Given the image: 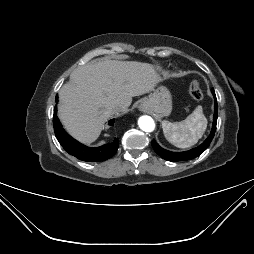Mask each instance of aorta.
<instances>
[{
	"label": "aorta",
	"instance_id": "1",
	"mask_svg": "<svg viewBox=\"0 0 254 254\" xmlns=\"http://www.w3.org/2000/svg\"><path fill=\"white\" fill-rule=\"evenodd\" d=\"M138 125L144 132H152L155 128L154 120L150 116H141L138 120Z\"/></svg>",
	"mask_w": 254,
	"mask_h": 254
}]
</instances>
